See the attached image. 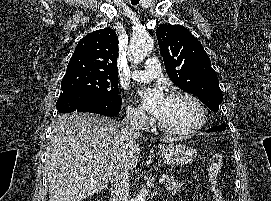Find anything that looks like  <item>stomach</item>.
Instances as JSON below:
<instances>
[{
  "label": "stomach",
  "instance_id": "1",
  "mask_svg": "<svg viewBox=\"0 0 271 201\" xmlns=\"http://www.w3.org/2000/svg\"><path fill=\"white\" fill-rule=\"evenodd\" d=\"M159 149L164 161L171 166L192 163L198 155L194 148L183 144L161 145Z\"/></svg>",
  "mask_w": 271,
  "mask_h": 201
}]
</instances>
